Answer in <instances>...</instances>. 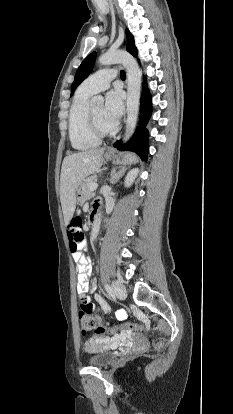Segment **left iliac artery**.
<instances>
[{"label": "left iliac artery", "instance_id": "left-iliac-artery-1", "mask_svg": "<svg viewBox=\"0 0 233 414\" xmlns=\"http://www.w3.org/2000/svg\"><path fill=\"white\" fill-rule=\"evenodd\" d=\"M105 289L107 291V293L109 294V296H112V288L110 285L106 284L105 285Z\"/></svg>", "mask_w": 233, "mask_h": 414}]
</instances>
